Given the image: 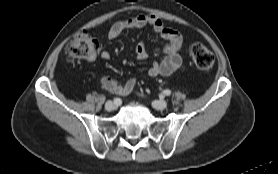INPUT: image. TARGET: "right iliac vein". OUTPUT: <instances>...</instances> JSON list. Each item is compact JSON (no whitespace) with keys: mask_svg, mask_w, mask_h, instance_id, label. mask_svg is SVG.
<instances>
[{"mask_svg":"<svg viewBox=\"0 0 278 174\" xmlns=\"http://www.w3.org/2000/svg\"><path fill=\"white\" fill-rule=\"evenodd\" d=\"M105 109H106L107 111H112V110L116 109V104L113 103L112 101H108V102H106V104H105Z\"/></svg>","mask_w":278,"mask_h":174,"instance_id":"1","label":"right iliac vein"}]
</instances>
